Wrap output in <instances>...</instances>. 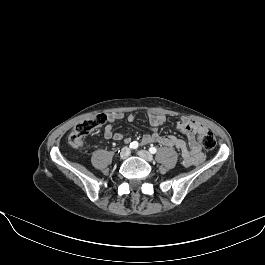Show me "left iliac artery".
<instances>
[{"mask_svg": "<svg viewBox=\"0 0 265 265\" xmlns=\"http://www.w3.org/2000/svg\"><path fill=\"white\" fill-rule=\"evenodd\" d=\"M150 153L155 154L157 152V149L155 147L149 148Z\"/></svg>", "mask_w": 265, "mask_h": 265, "instance_id": "obj_1", "label": "left iliac artery"}]
</instances>
